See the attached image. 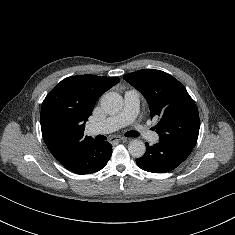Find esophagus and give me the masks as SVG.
I'll return each mask as SVG.
<instances>
[{
  "label": "esophagus",
  "mask_w": 235,
  "mask_h": 235,
  "mask_svg": "<svg viewBox=\"0 0 235 235\" xmlns=\"http://www.w3.org/2000/svg\"><path fill=\"white\" fill-rule=\"evenodd\" d=\"M127 139L121 136H113L109 139V142L112 144H117L120 141H126Z\"/></svg>",
  "instance_id": "1"
}]
</instances>
